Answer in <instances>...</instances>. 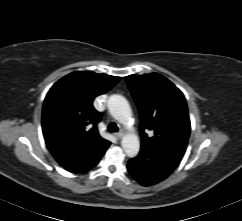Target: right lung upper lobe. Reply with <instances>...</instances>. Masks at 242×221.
Listing matches in <instances>:
<instances>
[{
	"mask_svg": "<svg viewBox=\"0 0 242 221\" xmlns=\"http://www.w3.org/2000/svg\"><path fill=\"white\" fill-rule=\"evenodd\" d=\"M120 77L76 71L56 82L42 111L45 142L57 162L70 172L94 167L110 145L98 133L101 120L92 102L109 91Z\"/></svg>",
	"mask_w": 242,
	"mask_h": 221,
	"instance_id": "obj_1",
	"label": "right lung upper lobe"
}]
</instances>
